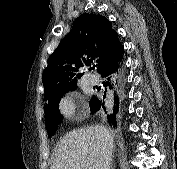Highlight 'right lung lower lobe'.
I'll list each match as a JSON object with an SVG mask.
<instances>
[{
    "label": "right lung lower lobe",
    "instance_id": "right-lung-lower-lobe-1",
    "mask_svg": "<svg viewBox=\"0 0 177 169\" xmlns=\"http://www.w3.org/2000/svg\"><path fill=\"white\" fill-rule=\"evenodd\" d=\"M101 76L106 79V86L112 90L113 96L111 99V104L108 107V111L104 106V102L97 96L92 97L90 102L91 113H101L105 111L104 118L110 125L117 126L120 119V114L123 108V70H122V60L118 63L105 68L101 73Z\"/></svg>",
    "mask_w": 177,
    "mask_h": 169
}]
</instances>
